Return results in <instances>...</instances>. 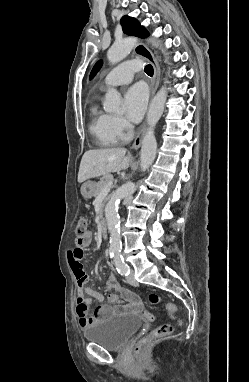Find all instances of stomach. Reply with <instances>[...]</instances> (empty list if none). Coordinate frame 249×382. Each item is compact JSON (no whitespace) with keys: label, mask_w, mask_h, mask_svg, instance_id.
<instances>
[{"label":"stomach","mask_w":249,"mask_h":382,"mask_svg":"<svg viewBox=\"0 0 249 382\" xmlns=\"http://www.w3.org/2000/svg\"><path fill=\"white\" fill-rule=\"evenodd\" d=\"M97 184L93 181L85 182L81 187V194L85 199H90L95 195Z\"/></svg>","instance_id":"0dacf381"}]
</instances>
